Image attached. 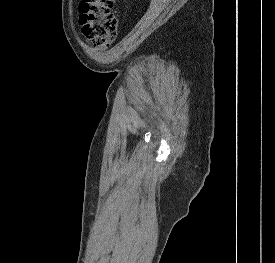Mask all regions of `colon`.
<instances>
[{
  "instance_id": "colon-1",
  "label": "colon",
  "mask_w": 275,
  "mask_h": 263,
  "mask_svg": "<svg viewBox=\"0 0 275 263\" xmlns=\"http://www.w3.org/2000/svg\"><path fill=\"white\" fill-rule=\"evenodd\" d=\"M115 0H82L79 4L83 34L93 43L106 45L118 34Z\"/></svg>"
}]
</instances>
